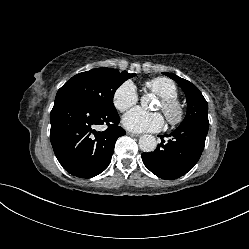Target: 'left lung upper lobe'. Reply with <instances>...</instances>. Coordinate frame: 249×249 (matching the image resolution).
Returning a JSON list of instances; mask_svg holds the SVG:
<instances>
[{
	"mask_svg": "<svg viewBox=\"0 0 249 249\" xmlns=\"http://www.w3.org/2000/svg\"><path fill=\"white\" fill-rule=\"evenodd\" d=\"M163 74L175 80L186 95L187 114L181 125H186L198 119L208 120V104L199 89L188 80L173 73L164 72Z\"/></svg>",
	"mask_w": 249,
	"mask_h": 249,
	"instance_id": "5c2ea615",
	"label": "left lung upper lobe"
}]
</instances>
